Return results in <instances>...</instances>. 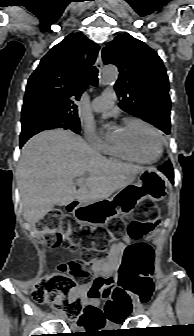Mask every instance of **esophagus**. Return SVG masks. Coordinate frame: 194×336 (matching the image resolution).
<instances>
[{"label": "esophagus", "mask_w": 194, "mask_h": 336, "mask_svg": "<svg viewBox=\"0 0 194 336\" xmlns=\"http://www.w3.org/2000/svg\"><path fill=\"white\" fill-rule=\"evenodd\" d=\"M103 66V62H102V53H101V49L98 52L97 55V59H96V67L100 70Z\"/></svg>", "instance_id": "34e87169"}]
</instances>
